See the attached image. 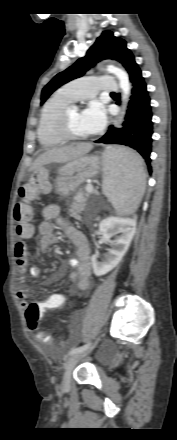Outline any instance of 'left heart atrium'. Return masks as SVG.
Instances as JSON below:
<instances>
[{"instance_id": "obj_1", "label": "left heart atrium", "mask_w": 177, "mask_h": 440, "mask_svg": "<svg viewBox=\"0 0 177 440\" xmlns=\"http://www.w3.org/2000/svg\"><path fill=\"white\" fill-rule=\"evenodd\" d=\"M81 123L87 134L100 132L106 123V113L103 105L92 102L81 112Z\"/></svg>"}]
</instances>
